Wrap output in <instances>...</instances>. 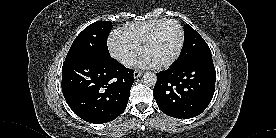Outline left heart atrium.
I'll list each match as a JSON object with an SVG mask.
<instances>
[{
    "label": "left heart atrium",
    "instance_id": "obj_1",
    "mask_svg": "<svg viewBox=\"0 0 276 138\" xmlns=\"http://www.w3.org/2000/svg\"><path fill=\"white\" fill-rule=\"evenodd\" d=\"M139 65L141 67H153L155 66V64L146 56H144L140 61H139Z\"/></svg>",
    "mask_w": 276,
    "mask_h": 138
}]
</instances>
